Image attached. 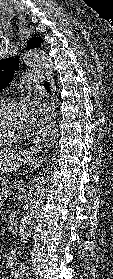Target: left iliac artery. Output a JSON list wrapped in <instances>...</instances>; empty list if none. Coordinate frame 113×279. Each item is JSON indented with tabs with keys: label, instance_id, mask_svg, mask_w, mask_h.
Here are the masks:
<instances>
[{
	"label": "left iliac artery",
	"instance_id": "left-iliac-artery-1",
	"mask_svg": "<svg viewBox=\"0 0 113 279\" xmlns=\"http://www.w3.org/2000/svg\"><path fill=\"white\" fill-rule=\"evenodd\" d=\"M14 275H15V278H16V279H22V278H23L22 272H19V271H18V272H16Z\"/></svg>",
	"mask_w": 113,
	"mask_h": 279
}]
</instances>
